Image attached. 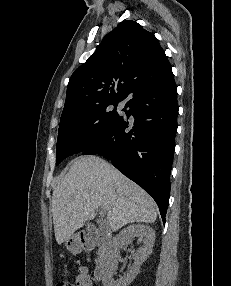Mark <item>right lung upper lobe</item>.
<instances>
[{
    "mask_svg": "<svg viewBox=\"0 0 231 286\" xmlns=\"http://www.w3.org/2000/svg\"><path fill=\"white\" fill-rule=\"evenodd\" d=\"M170 72L156 37L135 21H123L72 74L62 116L104 102L122 101L137 83Z\"/></svg>",
    "mask_w": 231,
    "mask_h": 286,
    "instance_id": "right-lung-upper-lobe-1",
    "label": "right lung upper lobe"
}]
</instances>
